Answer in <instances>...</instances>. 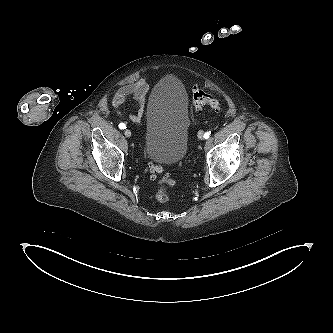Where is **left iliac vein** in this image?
Instances as JSON below:
<instances>
[{"mask_svg":"<svg viewBox=\"0 0 333 333\" xmlns=\"http://www.w3.org/2000/svg\"><path fill=\"white\" fill-rule=\"evenodd\" d=\"M198 138H199L200 140H202V139L204 138L203 131H199V132H198Z\"/></svg>","mask_w":333,"mask_h":333,"instance_id":"1","label":"left iliac vein"}]
</instances>
